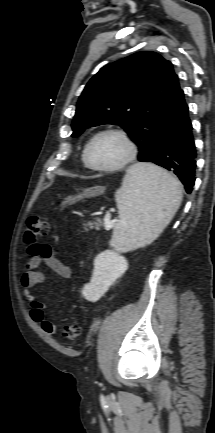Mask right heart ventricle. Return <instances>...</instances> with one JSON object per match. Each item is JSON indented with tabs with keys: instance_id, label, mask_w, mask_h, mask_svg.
I'll return each instance as SVG.
<instances>
[{
	"instance_id": "right-heart-ventricle-1",
	"label": "right heart ventricle",
	"mask_w": 215,
	"mask_h": 433,
	"mask_svg": "<svg viewBox=\"0 0 215 433\" xmlns=\"http://www.w3.org/2000/svg\"><path fill=\"white\" fill-rule=\"evenodd\" d=\"M81 162H82V164H83L84 167H87V165H86V163H85V161H84V158H83V154H82V156H81Z\"/></svg>"
}]
</instances>
